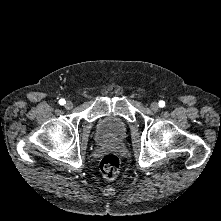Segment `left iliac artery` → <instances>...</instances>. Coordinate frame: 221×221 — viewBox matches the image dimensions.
Returning a JSON list of instances; mask_svg holds the SVG:
<instances>
[{
	"label": "left iliac artery",
	"mask_w": 221,
	"mask_h": 221,
	"mask_svg": "<svg viewBox=\"0 0 221 221\" xmlns=\"http://www.w3.org/2000/svg\"><path fill=\"white\" fill-rule=\"evenodd\" d=\"M159 106L160 107H164L165 106V102L163 100L159 101Z\"/></svg>",
	"instance_id": "left-iliac-artery-1"
}]
</instances>
